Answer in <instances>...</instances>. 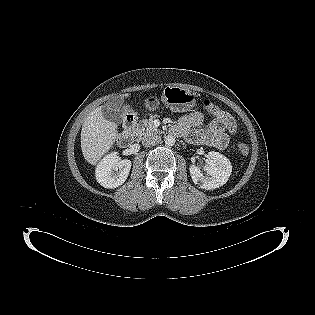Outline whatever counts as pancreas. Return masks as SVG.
I'll use <instances>...</instances> for the list:
<instances>
[{
    "label": "pancreas",
    "instance_id": "1",
    "mask_svg": "<svg viewBox=\"0 0 315 315\" xmlns=\"http://www.w3.org/2000/svg\"><path fill=\"white\" fill-rule=\"evenodd\" d=\"M151 133H158L157 128L154 126L153 119H144L140 121L132 131L133 136L138 139H143Z\"/></svg>",
    "mask_w": 315,
    "mask_h": 315
}]
</instances>
